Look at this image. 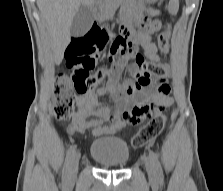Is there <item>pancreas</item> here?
Returning a JSON list of instances; mask_svg holds the SVG:
<instances>
[{"label":"pancreas","mask_w":223,"mask_h":191,"mask_svg":"<svg viewBox=\"0 0 223 191\" xmlns=\"http://www.w3.org/2000/svg\"><path fill=\"white\" fill-rule=\"evenodd\" d=\"M121 2L122 0H103L101 8L107 16H112Z\"/></svg>","instance_id":"pancreas-1"}]
</instances>
